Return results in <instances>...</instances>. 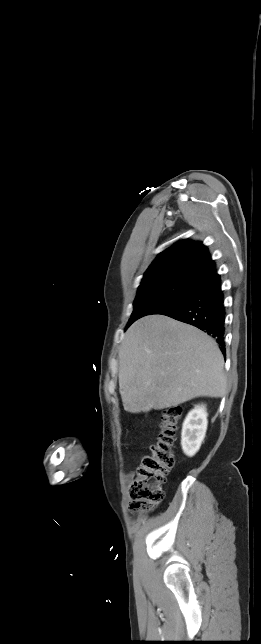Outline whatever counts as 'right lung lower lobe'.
Returning a JSON list of instances; mask_svg holds the SVG:
<instances>
[{
	"label": "right lung lower lobe",
	"mask_w": 261,
	"mask_h": 644,
	"mask_svg": "<svg viewBox=\"0 0 261 644\" xmlns=\"http://www.w3.org/2000/svg\"><path fill=\"white\" fill-rule=\"evenodd\" d=\"M220 275L216 272L199 282L190 296L177 306L161 313L191 324L214 337L225 351V307Z\"/></svg>",
	"instance_id": "right-lung-lower-lobe-1"
}]
</instances>
